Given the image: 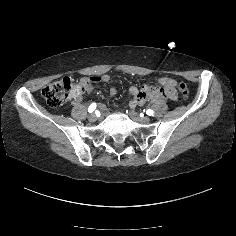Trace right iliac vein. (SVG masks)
<instances>
[{"instance_id": "1", "label": "right iliac vein", "mask_w": 236, "mask_h": 236, "mask_svg": "<svg viewBox=\"0 0 236 236\" xmlns=\"http://www.w3.org/2000/svg\"><path fill=\"white\" fill-rule=\"evenodd\" d=\"M88 119L90 122H95L97 120V116L93 113L89 115Z\"/></svg>"}]
</instances>
